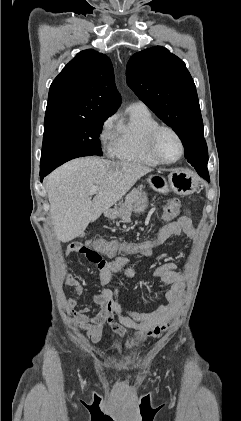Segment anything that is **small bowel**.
Segmentation results:
<instances>
[{
    "label": "small bowel",
    "mask_w": 241,
    "mask_h": 421,
    "mask_svg": "<svg viewBox=\"0 0 241 421\" xmlns=\"http://www.w3.org/2000/svg\"><path fill=\"white\" fill-rule=\"evenodd\" d=\"M182 234L187 236L194 234L192 218L187 211L178 219L162 226L153 236H160L163 243L171 237ZM71 253L72 251L68 247L66 256ZM150 255L151 252L141 254L143 258H148ZM98 267V280L101 288L93 296L94 302L100 307L96 314H90L88 307L74 310L84 287L72 275L66 276L64 280V287L74 288V295L66 302L72 321L92 342H99L102 339L105 324H108L117 336L133 335L140 341H144L147 337L159 336L173 324L184 292V280L182 275L176 271L175 263H163L154 271V276L161 280L159 289L167 287L168 290L165 293L166 303L151 312L130 310L120 301L122 281H114L113 275L122 272L126 277H133L135 274V268L129 266V261L125 256H113L110 261ZM111 282H113V286L109 289L107 285ZM131 330H137L138 333H132Z\"/></svg>",
    "instance_id": "1"
}]
</instances>
